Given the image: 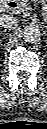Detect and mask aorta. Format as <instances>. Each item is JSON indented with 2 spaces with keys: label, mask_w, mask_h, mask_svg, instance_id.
Wrapping results in <instances>:
<instances>
[{
  "label": "aorta",
  "mask_w": 47,
  "mask_h": 129,
  "mask_svg": "<svg viewBox=\"0 0 47 129\" xmlns=\"http://www.w3.org/2000/svg\"><path fill=\"white\" fill-rule=\"evenodd\" d=\"M22 38L27 43H36L41 39V30L37 25L28 24L22 28Z\"/></svg>",
  "instance_id": "1"
}]
</instances>
